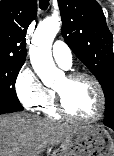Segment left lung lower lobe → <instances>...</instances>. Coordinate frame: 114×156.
Here are the masks:
<instances>
[{
    "label": "left lung lower lobe",
    "instance_id": "left-lung-lower-lobe-1",
    "mask_svg": "<svg viewBox=\"0 0 114 156\" xmlns=\"http://www.w3.org/2000/svg\"><path fill=\"white\" fill-rule=\"evenodd\" d=\"M108 127L112 128V129L114 130V125H112V126H108Z\"/></svg>",
    "mask_w": 114,
    "mask_h": 156
}]
</instances>
